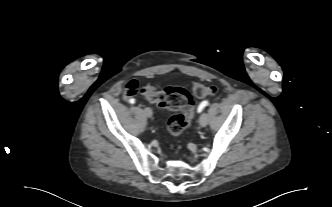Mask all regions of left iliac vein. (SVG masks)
Listing matches in <instances>:
<instances>
[{"label": "left iliac vein", "mask_w": 332, "mask_h": 207, "mask_svg": "<svg viewBox=\"0 0 332 207\" xmlns=\"http://www.w3.org/2000/svg\"><path fill=\"white\" fill-rule=\"evenodd\" d=\"M199 124L204 127L208 124V114L207 113H202L200 118H199Z\"/></svg>", "instance_id": "obj_1"}]
</instances>
